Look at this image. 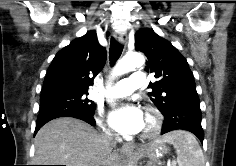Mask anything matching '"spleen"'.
Masks as SVG:
<instances>
[{
	"label": "spleen",
	"instance_id": "spleen-1",
	"mask_svg": "<svg viewBox=\"0 0 236 166\" xmlns=\"http://www.w3.org/2000/svg\"><path fill=\"white\" fill-rule=\"evenodd\" d=\"M159 143L172 144L176 150L179 166H205L203 151L195 136L189 132L178 130L157 139Z\"/></svg>",
	"mask_w": 236,
	"mask_h": 166
}]
</instances>
